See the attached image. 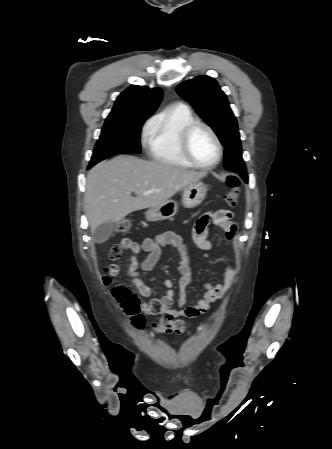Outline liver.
<instances>
[{"label": "liver", "mask_w": 332, "mask_h": 449, "mask_svg": "<svg viewBox=\"0 0 332 449\" xmlns=\"http://www.w3.org/2000/svg\"><path fill=\"white\" fill-rule=\"evenodd\" d=\"M206 175L127 155L100 162L87 175L84 210L90 228L94 231L103 223L119 222L131 212L160 205Z\"/></svg>", "instance_id": "liver-1"}]
</instances>
